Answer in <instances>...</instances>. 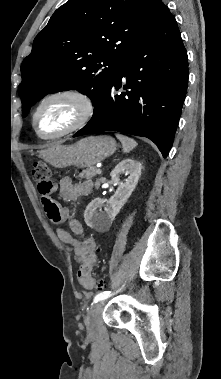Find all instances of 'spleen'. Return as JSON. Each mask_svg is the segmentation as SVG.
<instances>
[{
	"label": "spleen",
	"instance_id": "3e777b00",
	"mask_svg": "<svg viewBox=\"0 0 221 379\" xmlns=\"http://www.w3.org/2000/svg\"><path fill=\"white\" fill-rule=\"evenodd\" d=\"M116 137L122 143L123 151L124 152H130L137 145V142L134 139L129 138L127 136H124V135H121V134H116Z\"/></svg>",
	"mask_w": 221,
	"mask_h": 379
}]
</instances>
